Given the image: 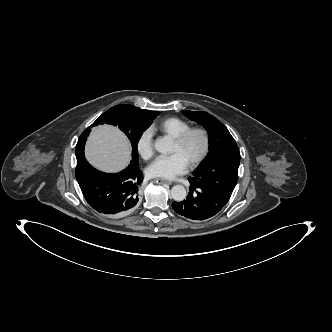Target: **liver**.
Instances as JSON below:
<instances>
[{"label":"liver","instance_id":"liver-1","mask_svg":"<svg viewBox=\"0 0 332 332\" xmlns=\"http://www.w3.org/2000/svg\"><path fill=\"white\" fill-rule=\"evenodd\" d=\"M85 156L97 169L104 172H117L129 163V142L118 128L101 125L94 128L88 137Z\"/></svg>","mask_w":332,"mask_h":332}]
</instances>
